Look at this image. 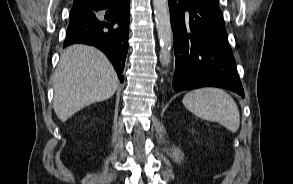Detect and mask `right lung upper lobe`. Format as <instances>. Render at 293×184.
Segmentation results:
<instances>
[{
    "mask_svg": "<svg viewBox=\"0 0 293 184\" xmlns=\"http://www.w3.org/2000/svg\"><path fill=\"white\" fill-rule=\"evenodd\" d=\"M73 1H74V4H79V3H83V2L91 3L93 1H98V0H73Z\"/></svg>",
    "mask_w": 293,
    "mask_h": 184,
    "instance_id": "obj_1",
    "label": "right lung upper lobe"
}]
</instances>
